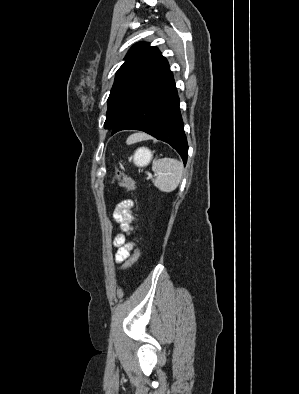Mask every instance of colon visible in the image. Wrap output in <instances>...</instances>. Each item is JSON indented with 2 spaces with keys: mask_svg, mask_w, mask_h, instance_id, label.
Returning <instances> with one entry per match:
<instances>
[{
  "mask_svg": "<svg viewBox=\"0 0 299 394\" xmlns=\"http://www.w3.org/2000/svg\"><path fill=\"white\" fill-rule=\"evenodd\" d=\"M114 180L116 181V183L120 187H123L130 192H132L135 189V181L130 176L115 174ZM139 254H140L139 247L135 246L132 254L130 255V257L128 258V260L126 261V263L124 265V271L128 270L136 263V261L138 260Z\"/></svg>",
  "mask_w": 299,
  "mask_h": 394,
  "instance_id": "1",
  "label": "colon"
}]
</instances>
